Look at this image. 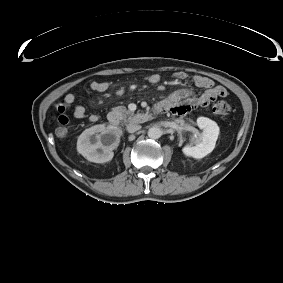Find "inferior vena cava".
I'll return each instance as SVG.
<instances>
[{"mask_svg": "<svg viewBox=\"0 0 283 283\" xmlns=\"http://www.w3.org/2000/svg\"><path fill=\"white\" fill-rule=\"evenodd\" d=\"M140 129H141V126L138 125V124L130 123V124L127 125V131L129 133H134V132H136V131H138Z\"/></svg>", "mask_w": 283, "mask_h": 283, "instance_id": "1", "label": "inferior vena cava"}]
</instances>
